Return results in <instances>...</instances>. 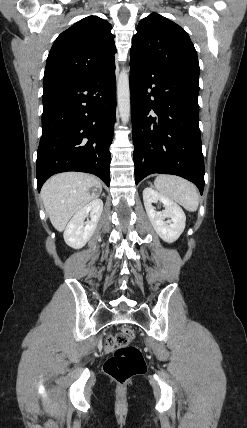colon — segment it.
<instances>
[{
    "label": "colon",
    "mask_w": 247,
    "mask_h": 428,
    "mask_svg": "<svg viewBox=\"0 0 247 428\" xmlns=\"http://www.w3.org/2000/svg\"><path fill=\"white\" fill-rule=\"evenodd\" d=\"M134 332L123 328L106 340V347L112 351L104 364L105 373L119 384H124L132 377L145 372L146 366L140 349L130 345Z\"/></svg>",
    "instance_id": "colon-1"
}]
</instances>
